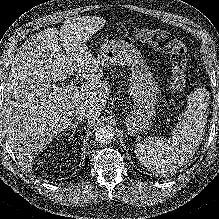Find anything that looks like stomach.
Wrapping results in <instances>:
<instances>
[{
    "label": "stomach",
    "mask_w": 219,
    "mask_h": 219,
    "mask_svg": "<svg viewBox=\"0 0 219 219\" xmlns=\"http://www.w3.org/2000/svg\"><path fill=\"white\" fill-rule=\"evenodd\" d=\"M97 62L102 68L124 65L130 68L129 86L133 105L125 118V124L130 134L147 132L155 117L159 89L140 59V52L132 43L113 39L102 44Z\"/></svg>",
    "instance_id": "stomach-1"
}]
</instances>
